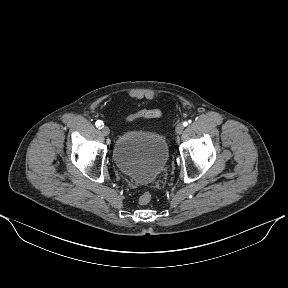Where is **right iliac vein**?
Returning a JSON list of instances; mask_svg holds the SVG:
<instances>
[{"mask_svg":"<svg viewBox=\"0 0 288 288\" xmlns=\"http://www.w3.org/2000/svg\"><path fill=\"white\" fill-rule=\"evenodd\" d=\"M101 132H102V134H103L104 136H108L109 133H110V129H109L107 126H104V127L102 128Z\"/></svg>","mask_w":288,"mask_h":288,"instance_id":"1","label":"right iliac vein"}]
</instances>
